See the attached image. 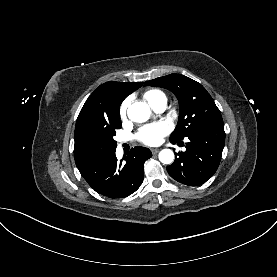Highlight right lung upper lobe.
Wrapping results in <instances>:
<instances>
[{
  "label": "right lung upper lobe",
  "mask_w": 277,
  "mask_h": 277,
  "mask_svg": "<svg viewBox=\"0 0 277 277\" xmlns=\"http://www.w3.org/2000/svg\"><path fill=\"white\" fill-rule=\"evenodd\" d=\"M143 82L109 81L100 85L86 100L82 107L74 132V158L79 167L98 156L86 143L85 132L93 123L110 122L119 116L122 101L133 91L142 86Z\"/></svg>",
  "instance_id": "1"
}]
</instances>
